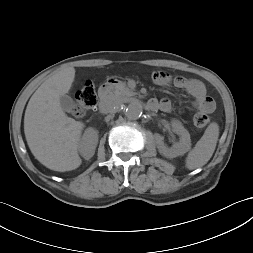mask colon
Masks as SVG:
<instances>
[{
  "label": "colon",
  "instance_id": "obj_1",
  "mask_svg": "<svg viewBox=\"0 0 253 253\" xmlns=\"http://www.w3.org/2000/svg\"><path fill=\"white\" fill-rule=\"evenodd\" d=\"M76 98V115L82 116L87 111L93 109L97 104V95L93 83L91 81H86L80 91L77 93ZM208 123L209 116L207 113L199 112L193 117V124L199 130L205 128Z\"/></svg>",
  "mask_w": 253,
  "mask_h": 253
}]
</instances>
